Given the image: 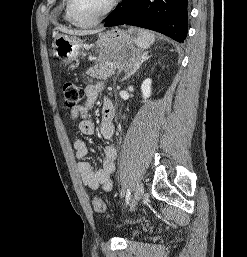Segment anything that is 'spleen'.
Segmentation results:
<instances>
[{
	"mask_svg": "<svg viewBox=\"0 0 247 257\" xmlns=\"http://www.w3.org/2000/svg\"><path fill=\"white\" fill-rule=\"evenodd\" d=\"M130 32L137 31V37L134 38V43L142 49L148 48L150 45H152L155 41V36L153 33L144 30V29H134L131 28L129 30Z\"/></svg>",
	"mask_w": 247,
	"mask_h": 257,
	"instance_id": "3e777b00",
	"label": "spleen"
}]
</instances>
